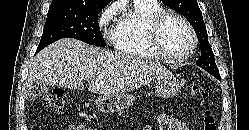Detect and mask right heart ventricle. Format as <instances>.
<instances>
[{"label": "right heart ventricle", "instance_id": "e07e8e85", "mask_svg": "<svg viewBox=\"0 0 249 130\" xmlns=\"http://www.w3.org/2000/svg\"><path fill=\"white\" fill-rule=\"evenodd\" d=\"M165 12L157 0H133L111 32L113 46L120 52L136 56L157 58L148 41V26L153 18Z\"/></svg>", "mask_w": 249, "mask_h": 130}]
</instances>
